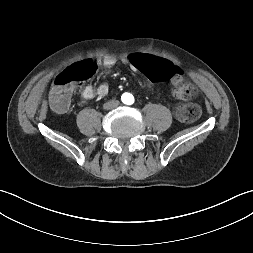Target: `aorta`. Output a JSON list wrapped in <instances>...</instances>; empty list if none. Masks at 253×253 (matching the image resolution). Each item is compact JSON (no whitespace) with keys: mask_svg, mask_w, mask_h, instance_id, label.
<instances>
[{"mask_svg":"<svg viewBox=\"0 0 253 253\" xmlns=\"http://www.w3.org/2000/svg\"><path fill=\"white\" fill-rule=\"evenodd\" d=\"M132 95L131 94H128V93H125L123 96H122V101L126 104L130 103V101H132Z\"/></svg>","mask_w":253,"mask_h":253,"instance_id":"obj_1","label":"aorta"}]
</instances>
